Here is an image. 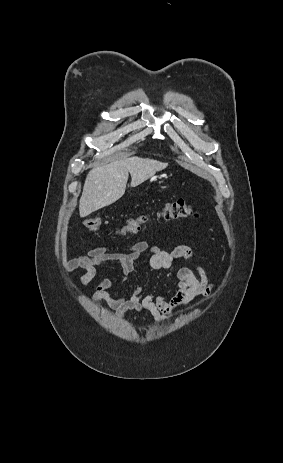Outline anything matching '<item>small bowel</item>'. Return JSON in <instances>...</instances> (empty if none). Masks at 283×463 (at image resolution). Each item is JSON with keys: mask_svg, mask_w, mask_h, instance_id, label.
Returning a JSON list of instances; mask_svg holds the SVG:
<instances>
[{"mask_svg": "<svg viewBox=\"0 0 283 463\" xmlns=\"http://www.w3.org/2000/svg\"><path fill=\"white\" fill-rule=\"evenodd\" d=\"M145 253L149 256L148 263L152 270L175 269L172 284L158 294L145 293L142 287H138L133 289L128 297L111 296L109 293L111 289L121 286L130 275L136 273L135 262ZM194 258V252L187 245H177L171 251H164L142 240L115 251L109 247L92 248L85 255L67 259L65 267L68 272L84 270L85 274L80 278V285L85 287L95 276L97 265L107 262L118 263L123 270L122 278L103 279L93 295L94 302L100 304L102 301H107L119 316L129 310L146 311L154 320L161 322L170 319L178 308L211 293L213 284L202 265L198 263L195 265L199 277L190 268L179 265L182 259L194 260Z\"/></svg>", "mask_w": 283, "mask_h": 463, "instance_id": "small-bowel-1", "label": "small bowel"}]
</instances>
